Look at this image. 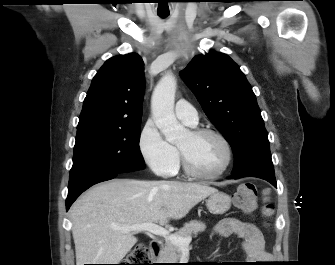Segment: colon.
Returning a JSON list of instances; mask_svg holds the SVG:
<instances>
[{"instance_id":"obj_1","label":"colon","mask_w":335,"mask_h":265,"mask_svg":"<svg viewBox=\"0 0 335 265\" xmlns=\"http://www.w3.org/2000/svg\"><path fill=\"white\" fill-rule=\"evenodd\" d=\"M258 194L254 183L246 182L241 184L235 195L234 204L237 208L245 213L253 212L257 207ZM264 217H270L273 214V206L267 200L261 208ZM151 253L150 249L143 244L135 246L125 259L122 265H150Z\"/></svg>"}]
</instances>
